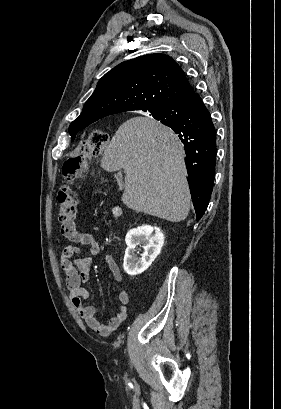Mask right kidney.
Wrapping results in <instances>:
<instances>
[{
  "label": "right kidney",
  "instance_id": "ca27d5eb",
  "mask_svg": "<svg viewBox=\"0 0 281 409\" xmlns=\"http://www.w3.org/2000/svg\"><path fill=\"white\" fill-rule=\"evenodd\" d=\"M164 235L159 227H151V225H142L137 229H130L125 237L127 249L124 255V271L134 277L144 273L154 259L158 257L163 245ZM138 247H142L143 253L140 257L135 255L139 251Z\"/></svg>",
  "mask_w": 281,
  "mask_h": 409
}]
</instances>
